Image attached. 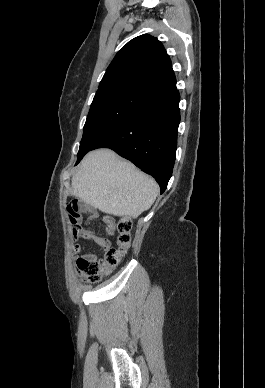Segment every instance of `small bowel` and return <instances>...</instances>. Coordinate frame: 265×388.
Returning a JSON list of instances; mask_svg holds the SVG:
<instances>
[{
	"label": "small bowel",
	"instance_id": "small-bowel-1",
	"mask_svg": "<svg viewBox=\"0 0 265 388\" xmlns=\"http://www.w3.org/2000/svg\"><path fill=\"white\" fill-rule=\"evenodd\" d=\"M89 214L92 218L98 217V213L95 211H90ZM103 221H104L107 233L113 234L115 231V225H114L112 219H110L109 217H104ZM86 238L93 241L95 244H97L103 250L108 249L110 246L109 241L107 239L100 237L93 232H88V235ZM81 249H82L81 246L76 245L74 250H75V252H79V251H81ZM82 257L90 259V260H97L96 255L93 253L85 254Z\"/></svg>",
	"mask_w": 265,
	"mask_h": 388
}]
</instances>
